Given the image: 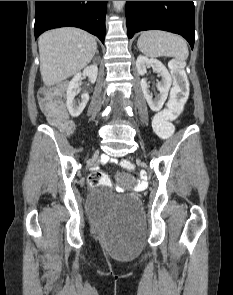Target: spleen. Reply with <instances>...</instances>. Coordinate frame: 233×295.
<instances>
[{
    "mask_svg": "<svg viewBox=\"0 0 233 295\" xmlns=\"http://www.w3.org/2000/svg\"><path fill=\"white\" fill-rule=\"evenodd\" d=\"M137 46L149 57L167 56L184 61L189 54L187 43L181 36L161 30L143 32Z\"/></svg>",
    "mask_w": 233,
    "mask_h": 295,
    "instance_id": "1",
    "label": "spleen"
}]
</instances>
